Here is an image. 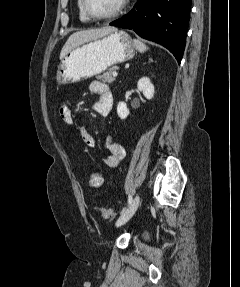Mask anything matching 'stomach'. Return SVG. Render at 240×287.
<instances>
[{"label":"stomach","instance_id":"0dacf381","mask_svg":"<svg viewBox=\"0 0 240 287\" xmlns=\"http://www.w3.org/2000/svg\"><path fill=\"white\" fill-rule=\"evenodd\" d=\"M135 49L134 42L125 31L110 32L72 49L58 66L56 81L65 85L101 74L111 65L133 58Z\"/></svg>","mask_w":240,"mask_h":287}]
</instances>
